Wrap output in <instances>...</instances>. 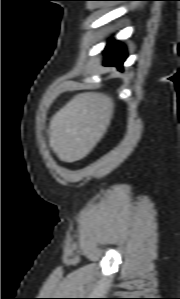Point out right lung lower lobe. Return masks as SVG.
<instances>
[{
  "mask_svg": "<svg viewBox=\"0 0 180 299\" xmlns=\"http://www.w3.org/2000/svg\"><path fill=\"white\" fill-rule=\"evenodd\" d=\"M127 57L125 46L113 39L108 41L105 49V65L116 66L123 70V62Z\"/></svg>",
  "mask_w": 180,
  "mask_h": 299,
  "instance_id": "right-lung-lower-lobe-1",
  "label": "right lung lower lobe"
}]
</instances>
